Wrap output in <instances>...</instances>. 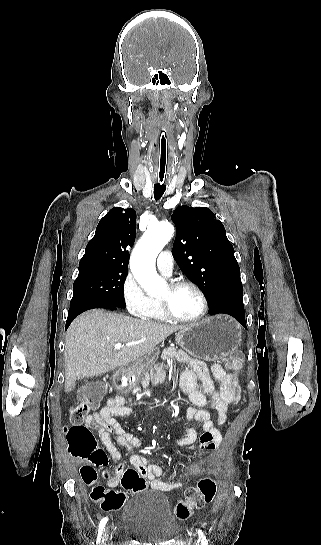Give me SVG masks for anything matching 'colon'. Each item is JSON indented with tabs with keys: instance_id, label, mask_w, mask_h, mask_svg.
Listing matches in <instances>:
<instances>
[{
	"instance_id": "5ec220e1",
	"label": "colon",
	"mask_w": 321,
	"mask_h": 545,
	"mask_svg": "<svg viewBox=\"0 0 321 545\" xmlns=\"http://www.w3.org/2000/svg\"><path fill=\"white\" fill-rule=\"evenodd\" d=\"M228 374L238 377L242 370V359L236 352H231L225 359ZM104 386L100 383H90L84 386L78 393V403L70 412L69 424L65 429L69 443V452L78 457L96 459L102 456L96 438L85 425V419L91 410L96 409L102 401ZM122 487L131 493L143 491L146 480L135 470L127 469L121 478ZM216 494V484L210 478H202L196 486L186 490L184 498L176 505V516L179 519H187L195 510L210 503ZM91 499L99 504L105 511L120 509L126 500L123 492L107 489L101 485L93 487L90 493Z\"/></svg>"
}]
</instances>
